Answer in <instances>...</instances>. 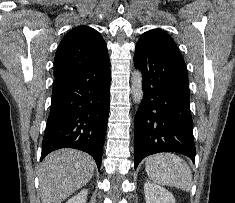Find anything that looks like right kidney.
<instances>
[{"label":"right kidney","mask_w":235,"mask_h":203,"mask_svg":"<svg viewBox=\"0 0 235 203\" xmlns=\"http://www.w3.org/2000/svg\"><path fill=\"white\" fill-rule=\"evenodd\" d=\"M87 194L88 190L83 189L82 191H80V193L70 198L66 203H86Z\"/></svg>","instance_id":"obj_1"}]
</instances>
